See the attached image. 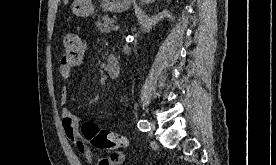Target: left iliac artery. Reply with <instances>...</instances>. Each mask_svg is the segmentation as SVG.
<instances>
[{"label":"left iliac artery","instance_id":"1","mask_svg":"<svg viewBox=\"0 0 276 165\" xmlns=\"http://www.w3.org/2000/svg\"><path fill=\"white\" fill-rule=\"evenodd\" d=\"M138 128L143 132H148L150 130V123L147 120H140Z\"/></svg>","mask_w":276,"mask_h":165}]
</instances>
